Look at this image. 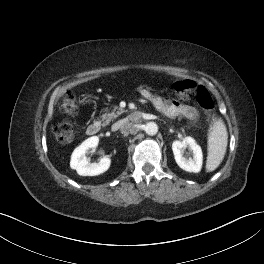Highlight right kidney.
Returning a JSON list of instances; mask_svg holds the SVG:
<instances>
[{
    "label": "right kidney",
    "instance_id": "right-kidney-1",
    "mask_svg": "<svg viewBox=\"0 0 264 264\" xmlns=\"http://www.w3.org/2000/svg\"><path fill=\"white\" fill-rule=\"evenodd\" d=\"M99 138L90 137L82 142L72 153L70 167L75 169L81 176H96L104 173L110 167L111 160L103 157L99 163H90L86 157V152L90 148L98 146Z\"/></svg>",
    "mask_w": 264,
    "mask_h": 264
}]
</instances>
